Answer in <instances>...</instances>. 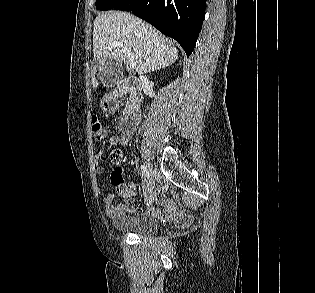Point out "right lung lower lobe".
<instances>
[{"label": "right lung lower lobe", "mask_w": 315, "mask_h": 293, "mask_svg": "<svg viewBox=\"0 0 315 293\" xmlns=\"http://www.w3.org/2000/svg\"><path fill=\"white\" fill-rule=\"evenodd\" d=\"M206 0H122L113 9L131 11L174 38L189 56L205 17Z\"/></svg>", "instance_id": "obj_1"}]
</instances>
